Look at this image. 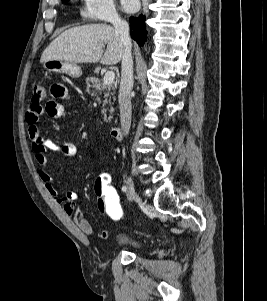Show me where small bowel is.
<instances>
[{"label": "small bowel", "mask_w": 267, "mask_h": 301, "mask_svg": "<svg viewBox=\"0 0 267 301\" xmlns=\"http://www.w3.org/2000/svg\"><path fill=\"white\" fill-rule=\"evenodd\" d=\"M51 99L43 107L40 103H32L26 113V123L28 125V134L32 143V149L35 155V161L39 165L38 175L43 182L49 194L56 198L64 212L71 216L75 225L79 230L88 236L94 234V229L91 223L84 216L83 212L75 207L77 194L73 191H68L64 196H60L58 189L55 187L49 173L46 170V153L47 151L63 154L65 157H74L77 153V148L73 143L67 142L62 146L57 145L54 141L44 137L38 128L40 117L46 113L51 118H63L67 112L61 101L69 99L67 87L62 83H55L50 89ZM97 207L103 213L100 204L97 202ZM110 235L109 230H101L98 232V237L107 239Z\"/></svg>", "instance_id": "small-bowel-1"}]
</instances>
